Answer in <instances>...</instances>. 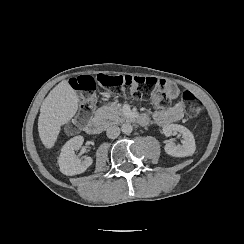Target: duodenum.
<instances>
[{
  "mask_svg": "<svg viewBox=\"0 0 244 244\" xmlns=\"http://www.w3.org/2000/svg\"><path fill=\"white\" fill-rule=\"evenodd\" d=\"M136 122H138L141 125H145L148 121V118L143 114H138L135 117ZM102 124L103 120L100 118H90L85 123V130L92 135H97L102 130Z\"/></svg>",
  "mask_w": 244,
  "mask_h": 244,
  "instance_id": "410a0bca",
  "label": "duodenum"
}]
</instances>
